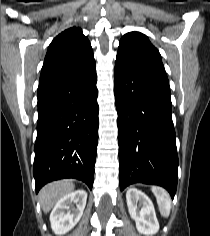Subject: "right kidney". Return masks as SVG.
Listing matches in <instances>:
<instances>
[{
	"label": "right kidney",
	"mask_w": 210,
	"mask_h": 236,
	"mask_svg": "<svg viewBox=\"0 0 210 236\" xmlns=\"http://www.w3.org/2000/svg\"><path fill=\"white\" fill-rule=\"evenodd\" d=\"M86 201L87 192L79 189L57 202L50 214L51 228L55 234H65L78 223L83 215Z\"/></svg>",
	"instance_id": "1"
}]
</instances>
